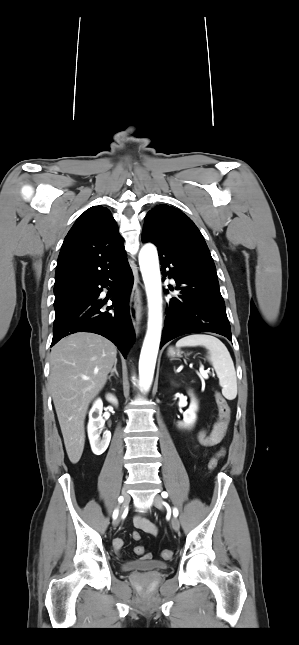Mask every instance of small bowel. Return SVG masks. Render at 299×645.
I'll return each instance as SVG.
<instances>
[{"label": "small bowel", "mask_w": 299, "mask_h": 645, "mask_svg": "<svg viewBox=\"0 0 299 645\" xmlns=\"http://www.w3.org/2000/svg\"><path fill=\"white\" fill-rule=\"evenodd\" d=\"M224 434H225V431L221 428L220 421L218 420L214 424L210 432H208L207 430H201L199 432L198 441L202 446L211 447L218 444L222 440ZM134 525L137 529L145 533H148L151 535H155L157 533L156 526L146 518H143L140 516L135 517ZM123 545H124V540L121 537H117L113 540V547L117 553H120ZM150 558H151L150 554H145L142 557V560H148Z\"/></svg>", "instance_id": "obj_1"}]
</instances>
